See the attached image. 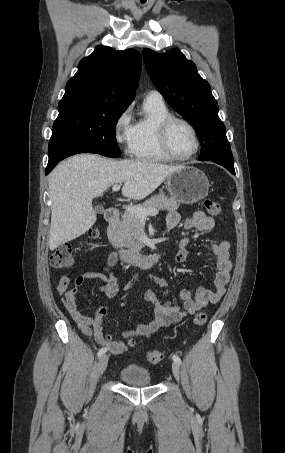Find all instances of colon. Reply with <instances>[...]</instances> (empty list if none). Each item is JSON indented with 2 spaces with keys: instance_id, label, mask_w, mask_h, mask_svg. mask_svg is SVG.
<instances>
[{
  "instance_id": "5ec220e1",
  "label": "colon",
  "mask_w": 285,
  "mask_h": 453,
  "mask_svg": "<svg viewBox=\"0 0 285 453\" xmlns=\"http://www.w3.org/2000/svg\"><path fill=\"white\" fill-rule=\"evenodd\" d=\"M204 206L207 212L211 216H217L221 213V205L213 200H205ZM100 234L98 226L89 229L88 237L90 239H96ZM50 264L52 267L57 269H69L74 265L73 249L70 245L64 244L59 246L50 256ZM207 321V313L205 311H199L194 316L193 322L195 326H202ZM129 344L133 346L135 344L134 339L129 340ZM164 358V353L159 350L150 351L147 355V359L152 364H158Z\"/></svg>"
}]
</instances>
